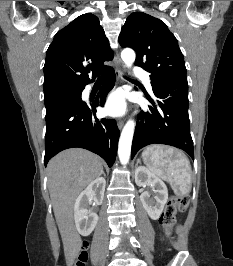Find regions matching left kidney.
I'll list each match as a JSON object with an SVG mask.
<instances>
[{"label": "left kidney", "mask_w": 233, "mask_h": 266, "mask_svg": "<svg viewBox=\"0 0 233 266\" xmlns=\"http://www.w3.org/2000/svg\"><path fill=\"white\" fill-rule=\"evenodd\" d=\"M135 182L139 187L149 185L157 193L155 200H153L148 192H143L140 195V200L149 217L153 220L158 219L168 199L167 186L144 166L136 168Z\"/></svg>", "instance_id": "5707ae66"}]
</instances>
